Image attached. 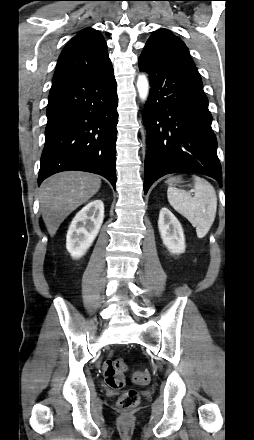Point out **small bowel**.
<instances>
[{
	"instance_id": "c3829d8e",
	"label": "small bowel",
	"mask_w": 254,
	"mask_h": 440,
	"mask_svg": "<svg viewBox=\"0 0 254 440\" xmlns=\"http://www.w3.org/2000/svg\"><path fill=\"white\" fill-rule=\"evenodd\" d=\"M103 377L108 386L115 388L114 383L116 382L115 373L113 371L112 362L110 359H107L103 362Z\"/></svg>"
}]
</instances>
